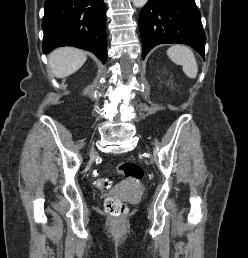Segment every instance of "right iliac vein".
I'll use <instances>...</instances> for the list:
<instances>
[{
    "label": "right iliac vein",
    "instance_id": "1",
    "mask_svg": "<svg viewBox=\"0 0 248 258\" xmlns=\"http://www.w3.org/2000/svg\"><path fill=\"white\" fill-rule=\"evenodd\" d=\"M94 153H95V149H94V147H92V148H91V151H90V155L93 156Z\"/></svg>",
    "mask_w": 248,
    "mask_h": 258
}]
</instances>
